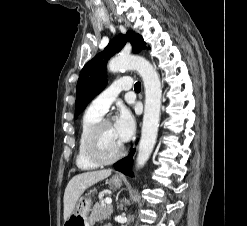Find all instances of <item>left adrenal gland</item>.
Segmentation results:
<instances>
[{
  "label": "left adrenal gland",
  "mask_w": 247,
  "mask_h": 226,
  "mask_svg": "<svg viewBox=\"0 0 247 226\" xmlns=\"http://www.w3.org/2000/svg\"><path fill=\"white\" fill-rule=\"evenodd\" d=\"M119 208H122V205H121V204L118 205V209H119Z\"/></svg>",
  "instance_id": "a2214340"
}]
</instances>
